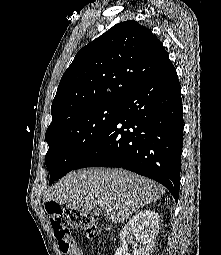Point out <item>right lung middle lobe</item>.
<instances>
[{
	"label": "right lung middle lobe",
	"instance_id": "dd1d6c3e",
	"mask_svg": "<svg viewBox=\"0 0 221 255\" xmlns=\"http://www.w3.org/2000/svg\"><path fill=\"white\" fill-rule=\"evenodd\" d=\"M120 103H104L79 110L50 129L45 164L49 184L73 170L113 122Z\"/></svg>",
	"mask_w": 221,
	"mask_h": 255
}]
</instances>
